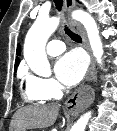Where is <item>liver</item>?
I'll return each instance as SVG.
<instances>
[{"instance_id":"liver-1","label":"liver","mask_w":117,"mask_h":131,"mask_svg":"<svg viewBox=\"0 0 117 131\" xmlns=\"http://www.w3.org/2000/svg\"><path fill=\"white\" fill-rule=\"evenodd\" d=\"M59 112L58 105H37L19 109L13 116L10 131H26L46 128L54 124Z\"/></svg>"}]
</instances>
